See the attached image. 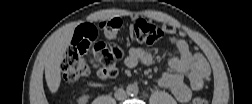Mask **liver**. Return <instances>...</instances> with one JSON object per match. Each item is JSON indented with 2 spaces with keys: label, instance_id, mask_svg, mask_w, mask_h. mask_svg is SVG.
Wrapping results in <instances>:
<instances>
[{
  "label": "liver",
  "instance_id": "obj_1",
  "mask_svg": "<svg viewBox=\"0 0 252 104\" xmlns=\"http://www.w3.org/2000/svg\"><path fill=\"white\" fill-rule=\"evenodd\" d=\"M74 27L60 31L49 45L45 59V79L51 93L57 92L61 82V63L65 51L70 45Z\"/></svg>",
  "mask_w": 252,
  "mask_h": 104
}]
</instances>
